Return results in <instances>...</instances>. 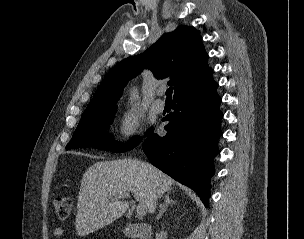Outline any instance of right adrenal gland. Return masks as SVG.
Here are the masks:
<instances>
[{"mask_svg":"<svg viewBox=\"0 0 304 239\" xmlns=\"http://www.w3.org/2000/svg\"><path fill=\"white\" fill-rule=\"evenodd\" d=\"M176 201L172 200L170 198V192H167L165 195V200H164V204L160 206V211L156 217L157 220H159L161 218V216L165 213V211L167 210V207L171 204H175Z\"/></svg>","mask_w":304,"mask_h":239,"instance_id":"obj_1","label":"right adrenal gland"}]
</instances>
